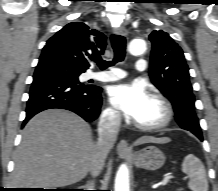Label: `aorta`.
I'll return each mask as SVG.
<instances>
[{
	"label": "aorta",
	"instance_id": "1",
	"mask_svg": "<svg viewBox=\"0 0 218 191\" xmlns=\"http://www.w3.org/2000/svg\"><path fill=\"white\" fill-rule=\"evenodd\" d=\"M129 53L140 55L146 51V42L143 39H133L128 46ZM114 191H129V170L125 164L121 165L115 178Z\"/></svg>",
	"mask_w": 218,
	"mask_h": 191
}]
</instances>
